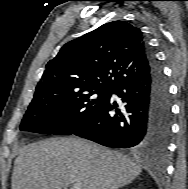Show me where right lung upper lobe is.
I'll return each mask as SVG.
<instances>
[{"instance_id":"obj_1","label":"right lung upper lobe","mask_w":188,"mask_h":189,"mask_svg":"<svg viewBox=\"0 0 188 189\" xmlns=\"http://www.w3.org/2000/svg\"><path fill=\"white\" fill-rule=\"evenodd\" d=\"M148 46L139 28L113 21L66 43L46 65L34 95L113 89L148 74Z\"/></svg>"}]
</instances>
